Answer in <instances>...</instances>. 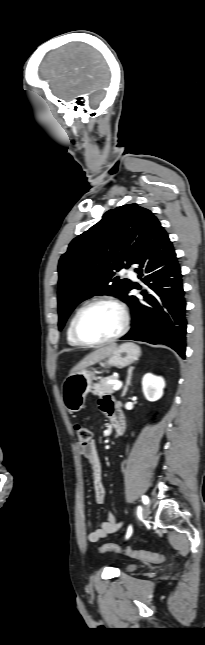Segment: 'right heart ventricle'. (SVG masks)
Instances as JSON below:
<instances>
[{
	"label": "right heart ventricle",
	"instance_id": "1",
	"mask_svg": "<svg viewBox=\"0 0 205 645\" xmlns=\"http://www.w3.org/2000/svg\"><path fill=\"white\" fill-rule=\"evenodd\" d=\"M72 319H73V317H72ZM72 319L70 320L69 325L67 327V331H66L67 342L71 346H80V344L75 340V338L73 337V334H72V330H71Z\"/></svg>",
	"mask_w": 205,
	"mask_h": 645
}]
</instances>
